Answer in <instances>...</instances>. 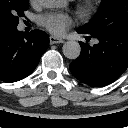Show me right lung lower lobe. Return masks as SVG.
<instances>
[{
    "label": "right lung lower lobe",
    "mask_w": 128,
    "mask_h": 128,
    "mask_svg": "<svg viewBox=\"0 0 128 128\" xmlns=\"http://www.w3.org/2000/svg\"><path fill=\"white\" fill-rule=\"evenodd\" d=\"M48 46L43 31L36 29L25 36L17 28L0 30V80L11 83L29 76Z\"/></svg>",
    "instance_id": "right-lung-lower-lobe-1"
}]
</instances>
